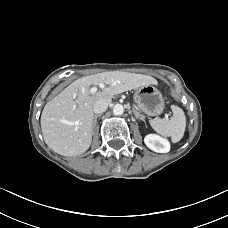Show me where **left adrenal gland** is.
Returning <instances> with one entry per match:
<instances>
[{
	"label": "left adrenal gland",
	"mask_w": 228,
	"mask_h": 228,
	"mask_svg": "<svg viewBox=\"0 0 228 228\" xmlns=\"http://www.w3.org/2000/svg\"><path fill=\"white\" fill-rule=\"evenodd\" d=\"M133 112H134L137 119L145 121V117L142 116L139 112H137L136 110H133Z\"/></svg>",
	"instance_id": "a2214340"
}]
</instances>
